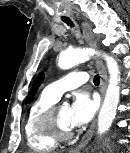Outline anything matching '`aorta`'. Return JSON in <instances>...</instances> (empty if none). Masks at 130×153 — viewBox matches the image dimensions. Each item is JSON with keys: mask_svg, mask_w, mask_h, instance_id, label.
I'll return each instance as SVG.
<instances>
[{"mask_svg": "<svg viewBox=\"0 0 130 153\" xmlns=\"http://www.w3.org/2000/svg\"><path fill=\"white\" fill-rule=\"evenodd\" d=\"M94 53L93 50L85 48L61 52L58 59V66L61 69H70L80 63L86 62ZM102 57L105 59L108 68L109 84L98 116V133L100 135L111 127L120 97V72L118 64L113 57L105 53L102 54Z\"/></svg>", "mask_w": 130, "mask_h": 153, "instance_id": "obj_1", "label": "aorta"}]
</instances>
